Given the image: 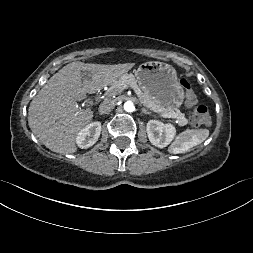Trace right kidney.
Instances as JSON below:
<instances>
[{
  "label": "right kidney",
  "instance_id": "right-kidney-1",
  "mask_svg": "<svg viewBox=\"0 0 253 253\" xmlns=\"http://www.w3.org/2000/svg\"><path fill=\"white\" fill-rule=\"evenodd\" d=\"M101 133V123L98 121L88 124L76 137V143L81 149L93 146Z\"/></svg>",
  "mask_w": 253,
  "mask_h": 253
}]
</instances>
